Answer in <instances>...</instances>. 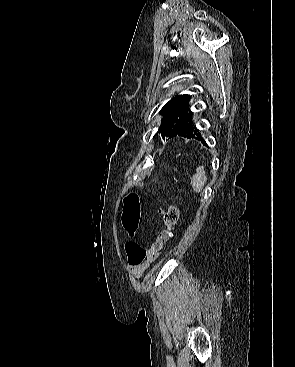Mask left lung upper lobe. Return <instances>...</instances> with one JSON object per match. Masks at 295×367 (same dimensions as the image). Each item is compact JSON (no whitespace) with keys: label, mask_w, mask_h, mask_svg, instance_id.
I'll return each mask as SVG.
<instances>
[{"label":"left lung upper lobe","mask_w":295,"mask_h":367,"mask_svg":"<svg viewBox=\"0 0 295 367\" xmlns=\"http://www.w3.org/2000/svg\"><path fill=\"white\" fill-rule=\"evenodd\" d=\"M190 96L187 94L176 95L168 101L160 110L162 123L159 131L163 138H170L174 130L181 124V122L188 115Z\"/></svg>","instance_id":"obj_1"}]
</instances>
